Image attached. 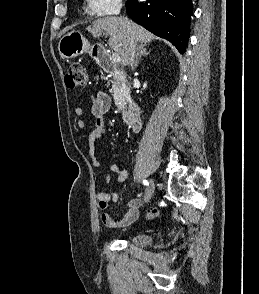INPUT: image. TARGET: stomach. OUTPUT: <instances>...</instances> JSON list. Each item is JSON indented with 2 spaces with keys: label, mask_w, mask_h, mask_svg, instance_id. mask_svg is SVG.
I'll return each instance as SVG.
<instances>
[{
  "label": "stomach",
  "mask_w": 259,
  "mask_h": 294,
  "mask_svg": "<svg viewBox=\"0 0 259 294\" xmlns=\"http://www.w3.org/2000/svg\"><path fill=\"white\" fill-rule=\"evenodd\" d=\"M58 51L62 58L71 59L88 52L89 43L79 31L73 30L60 39Z\"/></svg>",
  "instance_id": "0dacf381"
}]
</instances>
